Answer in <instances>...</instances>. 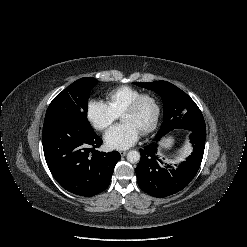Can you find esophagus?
I'll use <instances>...</instances> for the list:
<instances>
[{
  "instance_id": "34e87169",
  "label": "esophagus",
  "mask_w": 247,
  "mask_h": 247,
  "mask_svg": "<svg viewBox=\"0 0 247 247\" xmlns=\"http://www.w3.org/2000/svg\"><path fill=\"white\" fill-rule=\"evenodd\" d=\"M119 153L121 156H125L127 154V151L121 150V151H119Z\"/></svg>"
}]
</instances>
